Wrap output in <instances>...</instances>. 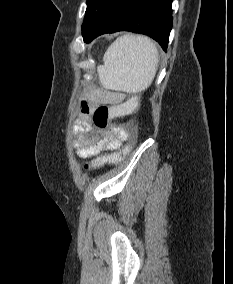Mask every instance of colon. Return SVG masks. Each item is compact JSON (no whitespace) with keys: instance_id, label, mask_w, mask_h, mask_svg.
I'll list each match as a JSON object with an SVG mask.
<instances>
[{"instance_id":"colon-1","label":"colon","mask_w":233,"mask_h":284,"mask_svg":"<svg viewBox=\"0 0 233 284\" xmlns=\"http://www.w3.org/2000/svg\"><path fill=\"white\" fill-rule=\"evenodd\" d=\"M140 96L134 95L124 103L117 106L100 105L93 111L92 119L94 125L99 129H106L109 127L110 121L113 118L132 114L139 106ZM136 142V133L133 130L129 131L125 139L124 146L117 152L105 155L93 160L91 163L85 164V170L100 167L107 163H115L123 160L131 151Z\"/></svg>"}]
</instances>
